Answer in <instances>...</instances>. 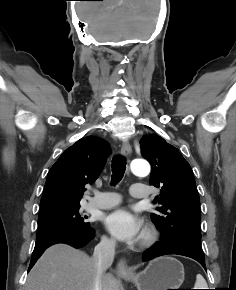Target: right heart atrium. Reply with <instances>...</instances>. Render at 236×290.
<instances>
[{
	"label": "right heart atrium",
	"instance_id": "d8ad5b80",
	"mask_svg": "<svg viewBox=\"0 0 236 290\" xmlns=\"http://www.w3.org/2000/svg\"><path fill=\"white\" fill-rule=\"evenodd\" d=\"M102 242H103V244H105L107 246H112L114 244L113 239H111L109 237H103Z\"/></svg>",
	"mask_w": 236,
	"mask_h": 290
}]
</instances>
